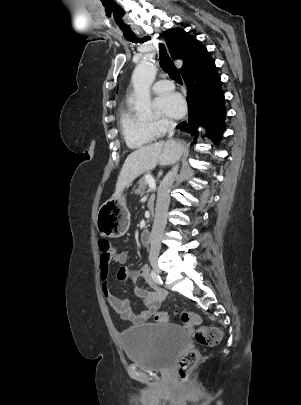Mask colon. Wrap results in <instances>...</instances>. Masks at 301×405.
I'll return each instance as SVG.
<instances>
[{"label": "colon", "instance_id": "1", "mask_svg": "<svg viewBox=\"0 0 301 405\" xmlns=\"http://www.w3.org/2000/svg\"><path fill=\"white\" fill-rule=\"evenodd\" d=\"M99 249L104 256H108L111 250V245L108 240L100 239L98 242ZM180 320L189 326H198L195 333V340L198 344L203 346H215L221 340V331L214 327H207L201 324V318L199 315L192 312H181L178 314ZM154 319L157 322H168L171 317L163 311L156 312ZM200 358V353L197 349L187 351L179 362V376L183 382L189 380L191 372L196 367Z\"/></svg>", "mask_w": 301, "mask_h": 405}]
</instances>
